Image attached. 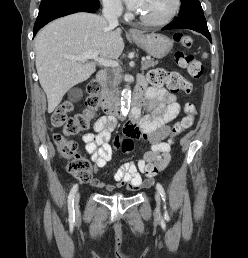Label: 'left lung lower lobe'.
I'll use <instances>...</instances> for the list:
<instances>
[{
  "label": "left lung lower lobe",
  "instance_id": "left-lung-lower-lobe-1",
  "mask_svg": "<svg viewBox=\"0 0 248 258\" xmlns=\"http://www.w3.org/2000/svg\"><path fill=\"white\" fill-rule=\"evenodd\" d=\"M176 28L191 29V30L200 32L204 36H206L211 42V36L208 31L207 23L203 14L192 16L184 20L175 19L170 24L165 26L162 30H169V29H176Z\"/></svg>",
  "mask_w": 248,
  "mask_h": 258
}]
</instances>
